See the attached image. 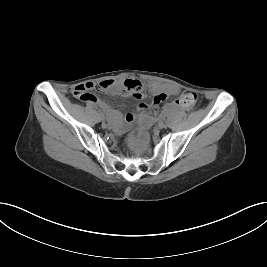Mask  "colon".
Listing matches in <instances>:
<instances>
[{"label": "colon", "instance_id": "5ec220e1", "mask_svg": "<svg viewBox=\"0 0 267 267\" xmlns=\"http://www.w3.org/2000/svg\"><path fill=\"white\" fill-rule=\"evenodd\" d=\"M111 81L100 82V83H85L83 86H79L76 88L75 95L78 99L82 101L90 100L94 96L90 93L91 90L98 89L103 90L107 88V84ZM125 90L136 97H141V85L138 81L135 80H126L125 81ZM166 94L161 93L154 97V103H161L165 101ZM197 101V94L194 91H185L182 93L180 98L178 99L179 105L184 107L185 109H191L195 105Z\"/></svg>", "mask_w": 267, "mask_h": 267}]
</instances>
